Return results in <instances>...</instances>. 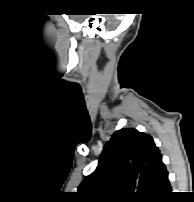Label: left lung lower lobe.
I'll return each mask as SVG.
<instances>
[{
	"instance_id": "left-lung-lower-lobe-1",
	"label": "left lung lower lobe",
	"mask_w": 194,
	"mask_h": 202,
	"mask_svg": "<svg viewBox=\"0 0 194 202\" xmlns=\"http://www.w3.org/2000/svg\"><path fill=\"white\" fill-rule=\"evenodd\" d=\"M170 196H171V186L168 179V172L164 167L151 199L157 201H168Z\"/></svg>"
}]
</instances>
